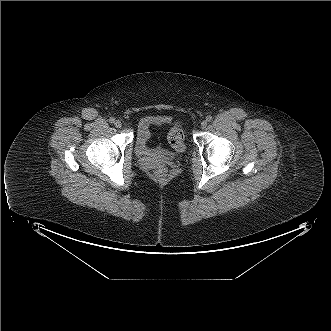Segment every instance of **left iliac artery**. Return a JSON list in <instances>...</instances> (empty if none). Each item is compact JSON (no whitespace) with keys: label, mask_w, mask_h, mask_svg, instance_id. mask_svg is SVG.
Returning a JSON list of instances; mask_svg holds the SVG:
<instances>
[{"label":"left iliac artery","mask_w":331,"mask_h":331,"mask_svg":"<svg viewBox=\"0 0 331 331\" xmlns=\"http://www.w3.org/2000/svg\"><path fill=\"white\" fill-rule=\"evenodd\" d=\"M206 120H207L208 122L212 121V116H210V115L207 116Z\"/></svg>","instance_id":"left-iliac-artery-1"}]
</instances>
